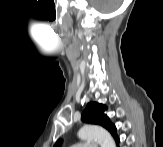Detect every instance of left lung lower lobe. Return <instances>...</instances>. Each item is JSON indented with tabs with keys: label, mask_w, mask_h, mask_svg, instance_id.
<instances>
[{
	"label": "left lung lower lobe",
	"mask_w": 163,
	"mask_h": 147,
	"mask_svg": "<svg viewBox=\"0 0 163 147\" xmlns=\"http://www.w3.org/2000/svg\"><path fill=\"white\" fill-rule=\"evenodd\" d=\"M115 140H116V143L117 145L119 144V137L117 135L114 136Z\"/></svg>",
	"instance_id": "obj_1"
}]
</instances>
